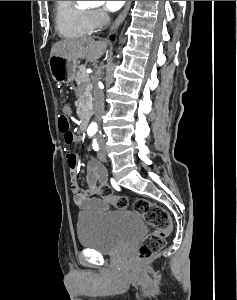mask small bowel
<instances>
[{
    "mask_svg": "<svg viewBox=\"0 0 237 300\" xmlns=\"http://www.w3.org/2000/svg\"><path fill=\"white\" fill-rule=\"evenodd\" d=\"M62 111L67 117L71 115L69 107H64ZM66 160L70 172L73 200L76 206L83 210H107L110 202L98 196L99 185L107 183L105 168L100 163L91 161L87 171V188L82 189L78 183L79 162L77 154L74 152L68 153Z\"/></svg>",
    "mask_w": 237,
    "mask_h": 300,
    "instance_id": "small-bowel-1",
    "label": "small bowel"
}]
</instances>
